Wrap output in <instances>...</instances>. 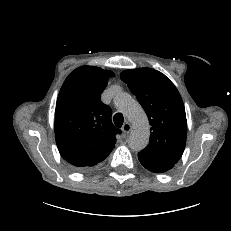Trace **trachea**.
<instances>
[{
	"instance_id": "1",
	"label": "trachea",
	"mask_w": 231,
	"mask_h": 231,
	"mask_svg": "<svg viewBox=\"0 0 231 231\" xmlns=\"http://www.w3.org/2000/svg\"><path fill=\"white\" fill-rule=\"evenodd\" d=\"M114 124L117 126V127H121L123 125V122H124V118H123V115L121 113H116L114 115Z\"/></svg>"
}]
</instances>
